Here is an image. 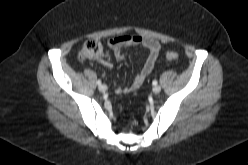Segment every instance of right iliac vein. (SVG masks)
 <instances>
[{
	"label": "right iliac vein",
	"mask_w": 248,
	"mask_h": 165,
	"mask_svg": "<svg viewBox=\"0 0 248 165\" xmlns=\"http://www.w3.org/2000/svg\"><path fill=\"white\" fill-rule=\"evenodd\" d=\"M98 89L100 92H105L107 90V86L102 84V85H99Z\"/></svg>",
	"instance_id": "obj_1"
}]
</instances>
